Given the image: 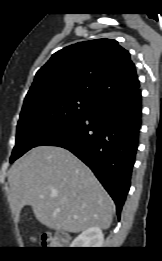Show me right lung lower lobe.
Instances as JSON below:
<instances>
[{
    "label": "right lung lower lobe",
    "instance_id": "1",
    "mask_svg": "<svg viewBox=\"0 0 162 261\" xmlns=\"http://www.w3.org/2000/svg\"><path fill=\"white\" fill-rule=\"evenodd\" d=\"M141 115V90L119 92L98 101L86 115L52 130L36 146L63 147L81 159L114 200L120 218L131 184Z\"/></svg>",
    "mask_w": 162,
    "mask_h": 261
}]
</instances>
